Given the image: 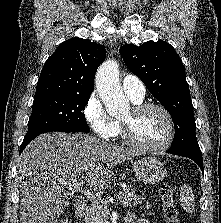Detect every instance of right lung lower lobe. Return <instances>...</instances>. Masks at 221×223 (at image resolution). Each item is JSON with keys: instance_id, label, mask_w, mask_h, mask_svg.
<instances>
[{"instance_id": "98d812e1", "label": "right lung lower lobe", "mask_w": 221, "mask_h": 223, "mask_svg": "<svg viewBox=\"0 0 221 223\" xmlns=\"http://www.w3.org/2000/svg\"><path fill=\"white\" fill-rule=\"evenodd\" d=\"M46 132H50V131H46ZM46 132H40V133H37V134H34V135H31V136H25L24 137V140L20 146V153L24 150V148L27 146L28 143H30V141H32L35 137H37L38 135L42 134V133H46ZM61 132H72V131H66V130H63Z\"/></svg>"}]
</instances>
